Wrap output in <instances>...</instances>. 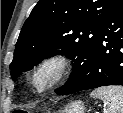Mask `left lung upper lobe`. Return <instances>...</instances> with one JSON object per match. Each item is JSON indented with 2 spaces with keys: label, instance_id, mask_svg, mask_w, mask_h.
<instances>
[{
  "label": "left lung upper lobe",
  "instance_id": "left-lung-upper-lobe-1",
  "mask_svg": "<svg viewBox=\"0 0 123 113\" xmlns=\"http://www.w3.org/2000/svg\"><path fill=\"white\" fill-rule=\"evenodd\" d=\"M114 0H39L25 21L10 64L13 78L43 59L66 54L74 70L57 94L81 83L89 68L101 22Z\"/></svg>",
  "mask_w": 123,
  "mask_h": 113
}]
</instances>
